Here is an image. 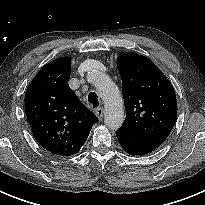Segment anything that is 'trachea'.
I'll return each mask as SVG.
<instances>
[{
  "mask_svg": "<svg viewBox=\"0 0 205 205\" xmlns=\"http://www.w3.org/2000/svg\"><path fill=\"white\" fill-rule=\"evenodd\" d=\"M88 101L91 103L93 107H97L99 105L98 96L96 93L91 92L88 95Z\"/></svg>",
  "mask_w": 205,
  "mask_h": 205,
  "instance_id": "obj_1",
  "label": "trachea"
}]
</instances>
